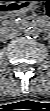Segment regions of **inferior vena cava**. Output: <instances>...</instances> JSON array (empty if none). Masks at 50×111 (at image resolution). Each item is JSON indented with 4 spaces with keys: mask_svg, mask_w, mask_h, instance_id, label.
Instances as JSON below:
<instances>
[{
    "mask_svg": "<svg viewBox=\"0 0 50 111\" xmlns=\"http://www.w3.org/2000/svg\"><path fill=\"white\" fill-rule=\"evenodd\" d=\"M21 33H19L18 31H11L6 35V38H14L18 35H20Z\"/></svg>",
    "mask_w": 50,
    "mask_h": 111,
    "instance_id": "obj_1",
    "label": "inferior vena cava"
}]
</instances>
